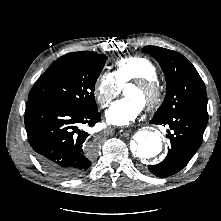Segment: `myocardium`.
Wrapping results in <instances>:
<instances>
[{"label":"myocardium","mask_w":221,"mask_h":221,"mask_svg":"<svg viewBox=\"0 0 221 221\" xmlns=\"http://www.w3.org/2000/svg\"><path fill=\"white\" fill-rule=\"evenodd\" d=\"M129 85H133L146 94V99L144 101V106L147 109H153L162 100V89L160 84L156 79L151 78H137L130 81Z\"/></svg>","instance_id":"obj_1"}]
</instances>
